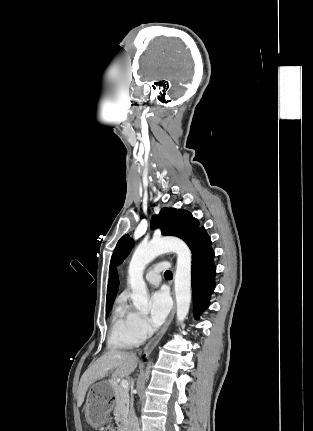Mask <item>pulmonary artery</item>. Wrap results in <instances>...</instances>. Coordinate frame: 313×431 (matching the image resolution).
<instances>
[{
	"mask_svg": "<svg viewBox=\"0 0 313 431\" xmlns=\"http://www.w3.org/2000/svg\"><path fill=\"white\" fill-rule=\"evenodd\" d=\"M167 268V263L161 262L153 266L148 270L145 275V280L148 284L152 286H158L161 281V271Z\"/></svg>",
	"mask_w": 313,
	"mask_h": 431,
	"instance_id": "e3ab8cb5",
	"label": "pulmonary artery"
}]
</instances>
